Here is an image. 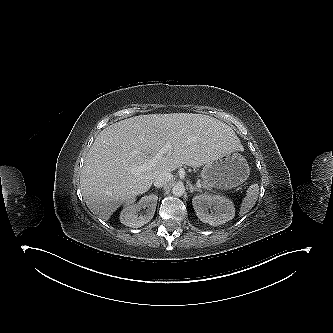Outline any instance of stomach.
I'll return each mask as SVG.
<instances>
[{"instance_id":"1","label":"stomach","mask_w":333,"mask_h":333,"mask_svg":"<svg viewBox=\"0 0 333 333\" xmlns=\"http://www.w3.org/2000/svg\"><path fill=\"white\" fill-rule=\"evenodd\" d=\"M249 174L246 159L239 153H230L205 164L201 178L211 188L231 189L244 183Z\"/></svg>"}]
</instances>
